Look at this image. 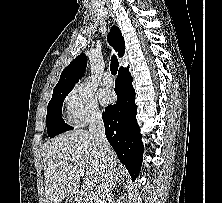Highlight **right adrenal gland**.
I'll return each instance as SVG.
<instances>
[{
    "mask_svg": "<svg viewBox=\"0 0 222 203\" xmlns=\"http://www.w3.org/2000/svg\"><path fill=\"white\" fill-rule=\"evenodd\" d=\"M119 175V174H118ZM119 176H116L115 177V180H114V182H113V188H115V184H116V182L119 180V178H118ZM121 177V176H120Z\"/></svg>",
    "mask_w": 222,
    "mask_h": 203,
    "instance_id": "obj_1",
    "label": "right adrenal gland"
}]
</instances>
